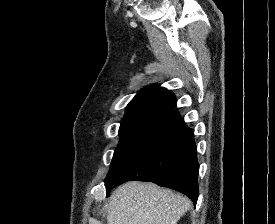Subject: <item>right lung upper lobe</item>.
Returning <instances> with one entry per match:
<instances>
[{
	"label": "right lung upper lobe",
	"instance_id": "right-lung-upper-lobe-1",
	"mask_svg": "<svg viewBox=\"0 0 275 224\" xmlns=\"http://www.w3.org/2000/svg\"><path fill=\"white\" fill-rule=\"evenodd\" d=\"M176 107V97L159 85L142 89L128 104L126 116L141 112L167 113Z\"/></svg>",
	"mask_w": 275,
	"mask_h": 224
}]
</instances>
